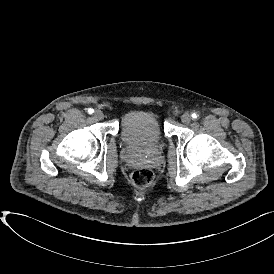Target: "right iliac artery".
I'll return each instance as SVG.
<instances>
[{"mask_svg": "<svg viewBox=\"0 0 274 274\" xmlns=\"http://www.w3.org/2000/svg\"><path fill=\"white\" fill-rule=\"evenodd\" d=\"M88 113L89 114H93L94 113V110L92 108L88 109Z\"/></svg>", "mask_w": 274, "mask_h": 274, "instance_id": "obj_1", "label": "right iliac artery"}]
</instances>
